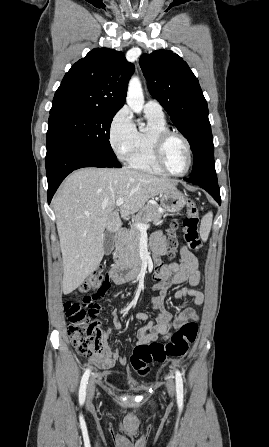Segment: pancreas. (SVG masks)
<instances>
[{"instance_id":"obj_1","label":"pancreas","mask_w":269,"mask_h":447,"mask_svg":"<svg viewBox=\"0 0 269 447\" xmlns=\"http://www.w3.org/2000/svg\"><path fill=\"white\" fill-rule=\"evenodd\" d=\"M164 212H159L158 206L155 204H146L144 208H141L137 216H135V222L138 224H157L160 222ZM140 237L141 231L137 229L135 224L130 225L129 231L126 235L120 237L118 243L115 245V251L113 253V259L115 263H123L127 267H135L141 263L140 259Z\"/></svg>"}]
</instances>
